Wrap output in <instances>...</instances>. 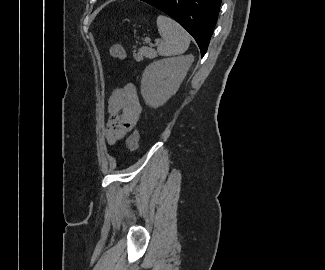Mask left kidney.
Instances as JSON below:
<instances>
[{
    "label": "left kidney",
    "mask_w": 325,
    "mask_h": 270,
    "mask_svg": "<svg viewBox=\"0 0 325 270\" xmlns=\"http://www.w3.org/2000/svg\"><path fill=\"white\" fill-rule=\"evenodd\" d=\"M194 57L178 56L154 61L146 67L141 80V94L147 105L158 108L179 89Z\"/></svg>",
    "instance_id": "1"
}]
</instances>
